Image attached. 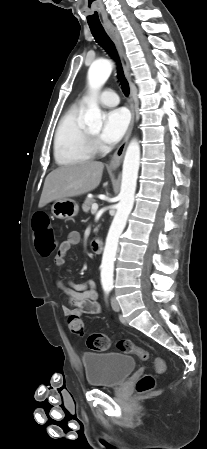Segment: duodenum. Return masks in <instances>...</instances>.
Here are the masks:
<instances>
[{"instance_id":"1","label":"duodenum","mask_w":207,"mask_h":449,"mask_svg":"<svg viewBox=\"0 0 207 449\" xmlns=\"http://www.w3.org/2000/svg\"><path fill=\"white\" fill-rule=\"evenodd\" d=\"M91 247L93 252L95 253H101L103 250V241L100 238H94L91 241Z\"/></svg>"}]
</instances>
